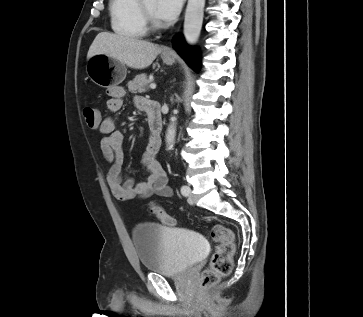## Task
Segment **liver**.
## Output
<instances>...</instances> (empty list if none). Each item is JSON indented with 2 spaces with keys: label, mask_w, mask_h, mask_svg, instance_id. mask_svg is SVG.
<instances>
[{
  "label": "liver",
  "mask_w": 363,
  "mask_h": 317,
  "mask_svg": "<svg viewBox=\"0 0 363 317\" xmlns=\"http://www.w3.org/2000/svg\"><path fill=\"white\" fill-rule=\"evenodd\" d=\"M161 51L162 48L159 45L149 41L110 32H101L91 44L87 59L96 54H105L130 68L144 69L151 65Z\"/></svg>",
  "instance_id": "obj_1"
}]
</instances>
